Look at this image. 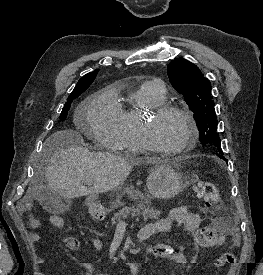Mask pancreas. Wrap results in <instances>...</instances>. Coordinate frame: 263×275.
Segmentation results:
<instances>
[{
    "mask_svg": "<svg viewBox=\"0 0 263 275\" xmlns=\"http://www.w3.org/2000/svg\"><path fill=\"white\" fill-rule=\"evenodd\" d=\"M129 196L132 200L138 202L135 206H124L121 210L114 214L112 217V225H115L116 222L120 221L123 218L131 215L134 216H143V219L146 221L148 219H157L160 215V211L151 208V197L148 195H144L140 191L130 192Z\"/></svg>",
    "mask_w": 263,
    "mask_h": 275,
    "instance_id": "cf45deb5",
    "label": "pancreas"
}]
</instances>
